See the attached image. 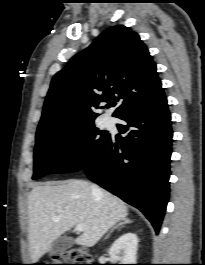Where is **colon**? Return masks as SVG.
I'll list each match as a JSON object with an SVG mask.
<instances>
[{
  "mask_svg": "<svg viewBox=\"0 0 205 265\" xmlns=\"http://www.w3.org/2000/svg\"><path fill=\"white\" fill-rule=\"evenodd\" d=\"M91 261L88 250L77 247L57 254L53 257L52 264L47 265H92Z\"/></svg>",
  "mask_w": 205,
  "mask_h": 265,
  "instance_id": "obj_1",
  "label": "colon"
}]
</instances>
